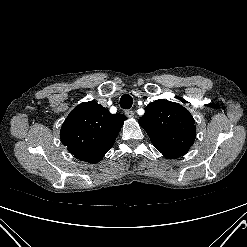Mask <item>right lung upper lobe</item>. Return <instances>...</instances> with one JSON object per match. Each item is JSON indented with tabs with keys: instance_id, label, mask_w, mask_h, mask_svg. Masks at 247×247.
Instances as JSON below:
<instances>
[{
	"instance_id": "obj_1",
	"label": "right lung upper lobe",
	"mask_w": 247,
	"mask_h": 247,
	"mask_svg": "<svg viewBox=\"0 0 247 247\" xmlns=\"http://www.w3.org/2000/svg\"><path fill=\"white\" fill-rule=\"evenodd\" d=\"M125 119V115H113L96 101L81 103L64 121L61 142L79 160L97 163L113 146Z\"/></svg>"
}]
</instances>
